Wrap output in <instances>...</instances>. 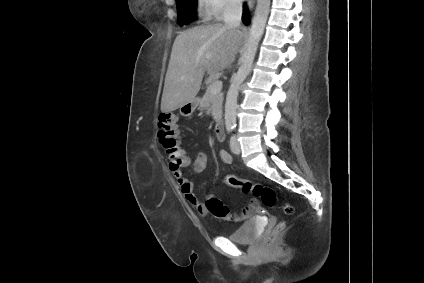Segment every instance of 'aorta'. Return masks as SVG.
I'll return each mask as SVG.
<instances>
[{
    "instance_id": "aorta-1",
    "label": "aorta",
    "mask_w": 424,
    "mask_h": 283,
    "mask_svg": "<svg viewBox=\"0 0 424 283\" xmlns=\"http://www.w3.org/2000/svg\"><path fill=\"white\" fill-rule=\"evenodd\" d=\"M269 9L270 0H257L249 37L245 43L244 52L241 58V65L231 81L226 96L224 116L227 127H234L236 125V109L239 88L251 71L259 41L264 33Z\"/></svg>"
}]
</instances>
